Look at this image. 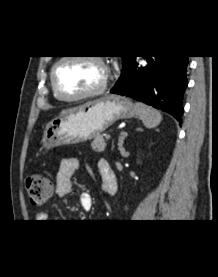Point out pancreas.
Wrapping results in <instances>:
<instances>
[{
    "label": "pancreas",
    "mask_w": 218,
    "mask_h": 277,
    "mask_svg": "<svg viewBox=\"0 0 218 277\" xmlns=\"http://www.w3.org/2000/svg\"><path fill=\"white\" fill-rule=\"evenodd\" d=\"M92 149L96 152L103 153L106 148V141L103 136L96 137L91 143Z\"/></svg>",
    "instance_id": "1"
}]
</instances>
